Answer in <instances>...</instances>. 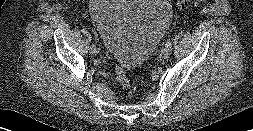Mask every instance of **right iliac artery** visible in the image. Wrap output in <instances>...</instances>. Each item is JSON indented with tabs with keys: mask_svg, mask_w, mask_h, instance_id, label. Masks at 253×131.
<instances>
[{
	"mask_svg": "<svg viewBox=\"0 0 253 131\" xmlns=\"http://www.w3.org/2000/svg\"><path fill=\"white\" fill-rule=\"evenodd\" d=\"M90 48H91L92 50H95V49L97 48V44L95 43L94 40H91V41H90Z\"/></svg>",
	"mask_w": 253,
	"mask_h": 131,
	"instance_id": "right-iliac-artery-1",
	"label": "right iliac artery"
}]
</instances>
